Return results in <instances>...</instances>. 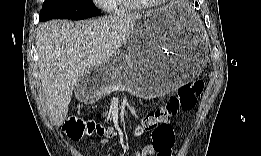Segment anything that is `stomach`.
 Instances as JSON below:
<instances>
[{"label": "stomach", "mask_w": 261, "mask_h": 156, "mask_svg": "<svg viewBox=\"0 0 261 156\" xmlns=\"http://www.w3.org/2000/svg\"><path fill=\"white\" fill-rule=\"evenodd\" d=\"M128 55L85 72L90 99L113 90H128L150 99L195 79L207 62L204 38L185 5L168 6L141 15L128 33Z\"/></svg>", "instance_id": "0dacf381"}]
</instances>
